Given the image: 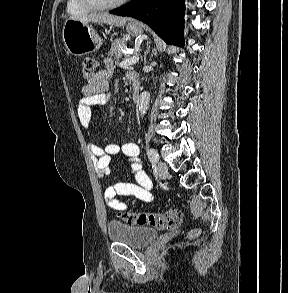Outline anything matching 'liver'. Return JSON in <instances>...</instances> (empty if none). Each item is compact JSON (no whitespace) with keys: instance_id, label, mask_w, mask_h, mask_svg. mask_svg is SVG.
Returning a JSON list of instances; mask_svg holds the SVG:
<instances>
[{"instance_id":"liver-1","label":"liver","mask_w":288,"mask_h":293,"mask_svg":"<svg viewBox=\"0 0 288 293\" xmlns=\"http://www.w3.org/2000/svg\"><path fill=\"white\" fill-rule=\"evenodd\" d=\"M69 19L80 20L83 22H98V23H105L113 26H122L124 25L128 18L127 17H120L111 15L108 13H91V14H84V15H72Z\"/></svg>"}]
</instances>
